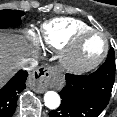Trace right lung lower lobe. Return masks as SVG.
Listing matches in <instances>:
<instances>
[{"mask_svg": "<svg viewBox=\"0 0 117 117\" xmlns=\"http://www.w3.org/2000/svg\"><path fill=\"white\" fill-rule=\"evenodd\" d=\"M27 76L26 71L20 70L0 89V117H12L17 105V94L26 88Z\"/></svg>", "mask_w": 117, "mask_h": 117, "instance_id": "1", "label": "right lung lower lobe"}]
</instances>
